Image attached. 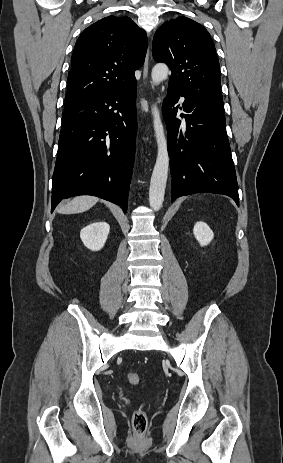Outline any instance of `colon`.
I'll list each match as a JSON object with an SVG mask.
<instances>
[{
    "instance_id": "1",
    "label": "colon",
    "mask_w": 283,
    "mask_h": 463,
    "mask_svg": "<svg viewBox=\"0 0 283 463\" xmlns=\"http://www.w3.org/2000/svg\"><path fill=\"white\" fill-rule=\"evenodd\" d=\"M126 377L130 384H138L140 382V377L135 372H128ZM146 424L147 417L145 412L141 409L136 410L133 414V426L137 437H142L144 435Z\"/></svg>"
}]
</instances>
